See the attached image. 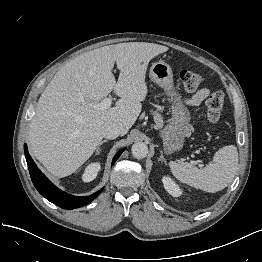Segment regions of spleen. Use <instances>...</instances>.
<instances>
[{
  "label": "spleen",
  "instance_id": "spleen-1",
  "mask_svg": "<svg viewBox=\"0 0 262 262\" xmlns=\"http://www.w3.org/2000/svg\"><path fill=\"white\" fill-rule=\"evenodd\" d=\"M238 164L237 148L233 145L219 149L205 168L199 169L187 162L169 163L173 176L196 189L209 193L218 192L231 183Z\"/></svg>",
  "mask_w": 262,
  "mask_h": 262
}]
</instances>
